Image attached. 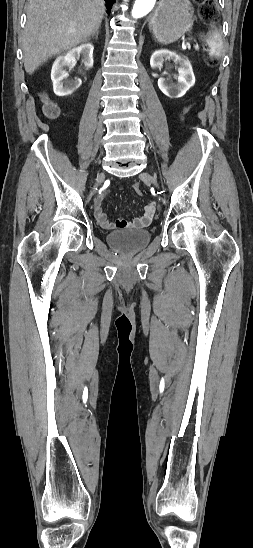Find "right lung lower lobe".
Returning a JSON list of instances; mask_svg holds the SVG:
<instances>
[{
  "label": "right lung lower lobe",
  "instance_id": "right-lung-lower-lobe-1",
  "mask_svg": "<svg viewBox=\"0 0 253 548\" xmlns=\"http://www.w3.org/2000/svg\"><path fill=\"white\" fill-rule=\"evenodd\" d=\"M105 2L107 3V6L110 8L112 4L115 2V0H105Z\"/></svg>",
  "mask_w": 253,
  "mask_h": 548
}]
</instances>
